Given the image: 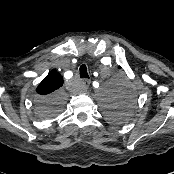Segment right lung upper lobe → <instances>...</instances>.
Instances as JSON below:
<instances>
[{"instance_id": "obj_1", "label": "right lung upper lobe", "mask_w": 174, "mask_h": 174, "mask_svg": "<svg viewBox=\"0 0 174 174\" xmlns=\"http://www.w3.org/2000/svg\"><path fill=\"white\" fill-rule=\"evenodd\" d=\"M62 84V76L56 70H52L49 72L47 77L39 84L36 91L41 95H48L59 89Z\"/></svg>"}]
</instances>
